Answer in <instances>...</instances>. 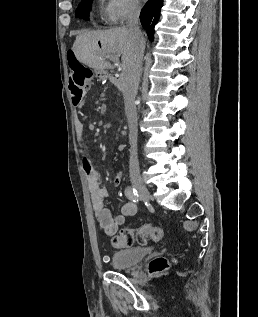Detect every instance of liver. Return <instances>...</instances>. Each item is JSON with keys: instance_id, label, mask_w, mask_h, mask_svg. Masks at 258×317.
<instances>
[{"instance_id": "1", "label": "liver", "mask_w": 258, "mask_h": 317, "mask_svg": "<svg viewBox=\"0 0 258 317\" xmlns=\"http://www.w3.org/2000/svg\"><path fill=\"white\" fill-rule=\"evenodd\" d=\"M73 52L79 62L87 64L90 68H96V70L114 68L113 64L104 58L107 52L122 54L121 66L123 72H126L134 48L128 28L118 26V28H109V30H89V32L77 34Z\"/></svg>"}]
</instances>
